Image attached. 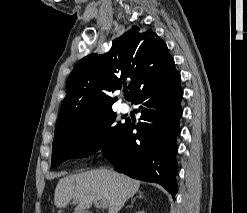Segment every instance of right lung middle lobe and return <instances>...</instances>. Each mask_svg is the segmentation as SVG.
Returning <instances> with one entry per match:
<instances>
[{
	"instance_id": "dd1d6c3e",
	"label": "right lung middle lobe",
	"mask_w": 247,
	"mask_h": 213,
	"mask_svg": "<svg viewBox=\"0 0 247 213\" xmlns=\"http://www.w3.org/2000/svg\"><path fill=\"white\" fill-rule=\"evenodd\" d=\"M115 117L110 109L84 125L56 134L52 145V167H57L69 158L89 156L101 148L102 152L111 149L124 126L120 122L111 126Z\"/></svg>"
}]
</instances>
